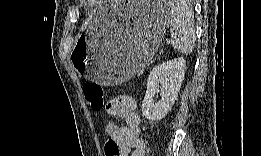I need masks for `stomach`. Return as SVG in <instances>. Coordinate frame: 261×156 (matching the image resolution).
Returning a JSON list of instances; mask_svg holds the SVG:
<instances>
[{
  "mask_svg": "<svg viewBox=\"0 0 261 156\" xmlns=\"http://www.w3.org/2000/svg\"><path fill=\"white\" fill-rule=\"evenodd\" d=\"M169 21L166 2H104L81 32L72 61L101 85L125 82L155 55Z\"/></svg>",
  "mask_w": 261,
  "mask_h": 156,
  "instance_id": "obj_1",
  "label": "stomach"
}]
</instances>
